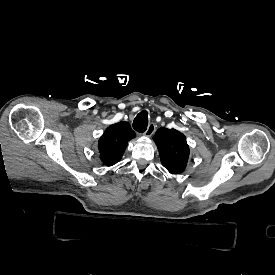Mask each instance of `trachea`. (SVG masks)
Returning <instances> with one entry per match:
<instances>
[{
    "mask_svg": "<svg viewBox=\"0 0 275 275\" xmlns=\"http://www.w3.org/2000/svg\"><path fill=\"white\" fill-rule=\"evenodd\" d=\"M148 126V116L145 111L139 113L133 121V128L139 133L145 132Z\"/></svg>",
    "mask_w": 275,
    "mask_h": 275,
    "instance_id": "trachea-1",
    "label": "trachea"
}]
</instances>
